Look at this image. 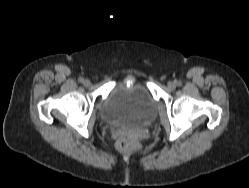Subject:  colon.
<instances>
[{
    "instance_id": "1",
    "label": "colon",
    "mask_w": 249,
    "mask_h": 188,
    "mask_svg": "<svg viewBox=\"0 0 249 188\" xmlns=\"http://www.w3.org/2000/svg\"><path fill=\"white\" fill-rule=\"evenodd\" d=\"M118 148L122 151H129L138 145V138L133 133H126L118 140Z\"/></svg>"
}]
</instances>
